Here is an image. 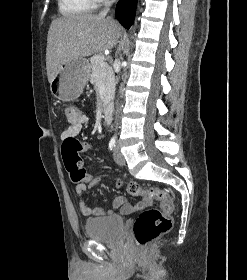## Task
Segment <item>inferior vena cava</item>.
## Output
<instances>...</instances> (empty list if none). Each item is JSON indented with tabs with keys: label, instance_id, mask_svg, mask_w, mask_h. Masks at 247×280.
Wrapping results in <instances>:
<instances>
[{
	"label": "inferior vena cava",
	"instance_id": "602c4592",
	"mask_svg": "<svg viewBox=\"0 0 247 280\" xmlns=\"http://www.w3.org/2000/svg\"><path fill=\"white\" fill-rule=\"evenodd\" d=\"M115 0H107L106 2V8L104 9V11H102L100 13V15H105L108 11H109V7L112 5V3L114 2ZM120 93H121V90H120Z\"/></svg>",
	"mask_w": 247,
	"mask_h": 280
}]
</instances>
